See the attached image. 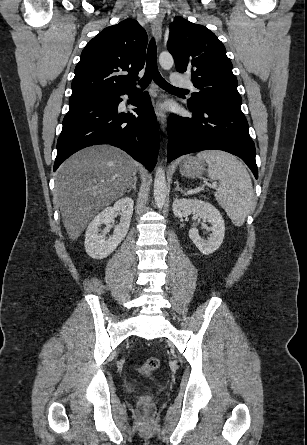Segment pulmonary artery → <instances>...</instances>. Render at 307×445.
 I'll use <instances>...</instances> for the list:
<instances>
[{
	"label": "pulmonary artery",
	"instance_id": "obj_1",
	"mask_svg": "<svg viewBox=\"0 0 307 445\" xmlns=\"http://www.w3.org/2000/svg\"><path fill=\"white\" fill-rule=\"evenodd\" d=\"M168 82L170 84H176L178 90H191L192 82L187 81L186 75H170L168 77Z\"/></svg>",
	"mask_w": 307,
	"mask_h": 445
}]
</instances>
